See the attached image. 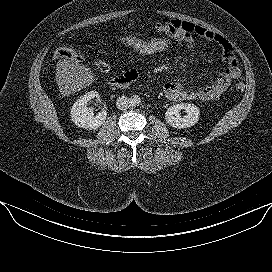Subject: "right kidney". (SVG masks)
Segmentation results:
<instances>
[{
    "mask_svg": "<svg viewBox=\"0 0 272 272\" xmlns=\"http://www.w3.org/2000/svg\"><path fill=\"white\" fill-rule=\"evenodd\" d=\"M94 98H99V93L97 91H90L77 99L73 104L71 109V118L78 127L95 130L106 120V110L94 115L93 108L87 106L88 102Z\"/></svg>",
    "mask_w": 272,
    "mask_h": 272,
    "instance_id": "1",
    "label": "right kidney"
}]
</instances>
